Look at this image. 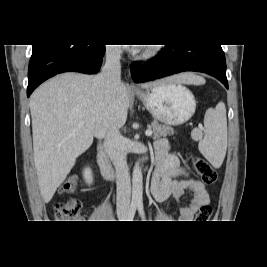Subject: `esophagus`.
<instances>
[{"mask_svg": "<svg viewBox=\"0 0 267 267\" xmlns=\"http://www.w3.org/2000/svg\"><path fill=\"white\" fill-rule=\"evenodd\" d=\"M129 88L137 90V86L133 82L130 83Z\"/></svg>", "mask_w": 267, "mask_h": 267, "instance_id": "34e87169", "label": "esophagus"}]
</instances>
